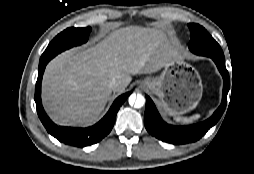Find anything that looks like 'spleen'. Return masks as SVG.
Returning <instances> with one entry per match:
<instances>
[{"mask_svg": "<svg viewBox=\"0 0 254 174\" xmlns=\"http://www.w3.org/2000/svg\"><path fill=\"white\" fill-rule=\"evenodd\" d=\"M200 118V114H195L191 117H175V121L179 123H192Z\"/></svg>", "mask_w": 254, "mask_h": 174, "instance_id": "3e777b00", "label": "spleen"}]
</instances>
